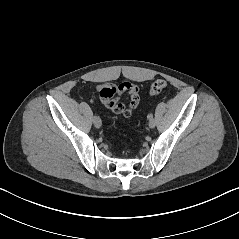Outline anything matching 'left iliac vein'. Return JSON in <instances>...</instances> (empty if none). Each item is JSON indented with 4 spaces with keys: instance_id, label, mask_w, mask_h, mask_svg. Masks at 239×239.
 <instances>
[{
    "instance_id": "left-iliac-vein-1",
    "label": "left iliac vein",
    "mask_w": 239,
    "mask_h": 239,
    "mask_svg": "<svg viewBox=\"0 0 239 239\" xmlns=\"http://www.w3.org/2000/svg\"><path fill=\"white\" fill-rule=\"evenodd\" d=\"M149 127L152 129V128H154L155 127V125H156V122H155V120L154 119H151V120H149Z\"/></svg>"
}]
</instances>
